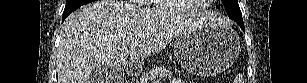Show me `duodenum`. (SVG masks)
<instances>
[{
  "label": "duodenum",
  "mask_w": 307,
  "mask_h": 83,
  "mask_svg": "<svg viewBox=\"0 0 307 83\" xmlns=\"http://www.w3.org/2000/svg\"><path fill=\"white\" fill-rule=\"evenodd\" d=\"M128 72H129L131 75H134V74H135V70L133 69L132 66H130V68L128 69Z\"/></svg>",
  "instance_id": "410a0bca"
}]
</instances>
